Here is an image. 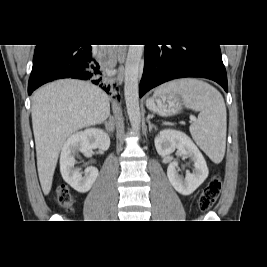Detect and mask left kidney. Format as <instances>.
Masks as SVG:
<instances>
[{
	"mask_svg": "<svg viewBox=\"0 0 267 267\" xmlns=\"http://www.w3.org/2000/svg\"><path fill=\"white\" fill-rule=\"evenodd\" d=\"M154 142L160 155L170 156L177 149L181 155L192 159L193 172L186 174L185 178L178 174L176 161L170 162L167 168L168 179L175 190L185 196L192 194L205 181L209 173L200 150L185 133L176 130L160 131Z\"/></svg>",
	"mask_w": 267,
	"mask_h": 267,
	"instance_id": "left-kidney-1",
	"label": "left kidney"
}]
</instances>
